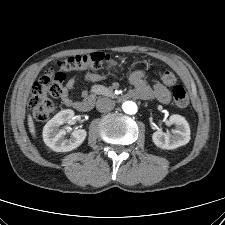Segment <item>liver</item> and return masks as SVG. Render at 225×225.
I'll return each mask as SVG.
<instances>
[{"instance_id": "liver-1", "label": "liver", "mask_w": 225, "mask_h": 225, "mask_svg": "<svg viewBox=\"0 0 225 225\" xmlns=\"http://www.w3.org/2000/svg\"><path fill=\"white\" fill-rule=\"evenodd\" d=\"M28 127H29V131H30L31 135L34 138H36L35 126H34V122H33L31 115H28Z\"/></svg>"}]
</instances>
